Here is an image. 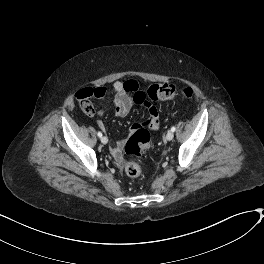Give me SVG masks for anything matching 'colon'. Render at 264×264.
<instances>
[{
  "instance_id": "5ec220e1",
  "label": "colon",
  "mask_w": 264,
  "mask_h": 264,
  "mask_svg": "<svg viewBox=\"0 0 264 264\" xmlns=\"http://www.w3.org/2000/svg\"><path fill=\"white\" fill-rule=\"evenodd\" d=\"M94 96V89H84L78 94V102L82 111L86 114L93 112V105L90 99ZM193 97V91L189 87L177 89L175 86L169 84H154L148 88L136 92L134 100L138 104L152 105L158 100H177L189 101ZM150 147L149 133L136 125L135 132L128 140L125 152L133 157L140 154V151ZM125 174L132 179L138 178L142 175V166L138 161H131L125 168Z\"/></svg>"
}]
</instances>
